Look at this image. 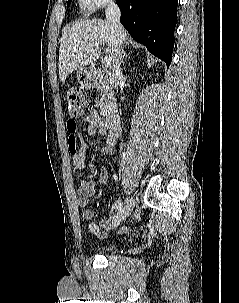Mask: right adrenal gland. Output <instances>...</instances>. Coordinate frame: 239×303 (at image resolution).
<instances>
[{"mask_svg":"<svg viewBox=\"0 0 239 303\" xmlns=\"http://www.w3.org/2000/svg\"><path fill=\"white\" fill-rule=\"evenodd\" d=\"M128 55L126 54V52L124 51V49L121 51V62L124 63V59L127 57Z\"/></svg>","mask_w":239,"mask_h":303,"instance_id":"obj_1","label":"right adrenal gland"}]
</instances>
